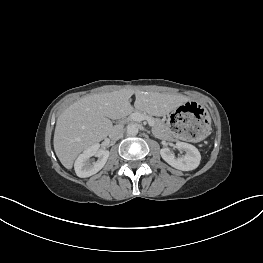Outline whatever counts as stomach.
I'll return each mask as SVG.
<instances>
[{
	"mask_svg": "<svg viewBox=\"0 0 263 263\" xmlns=\"http://www.w3.org/2000/svg\"><path fill=\"white\" fill-rule=\"evenodd\" d=\"M172 134L187 144H199L210 133V119L199 105L187 103L176 109L169 120Z\"/></svg>",
	"mask_w": 263,
	"mask_h": 263,
	"instance_id": "1",
	"label": "stomach"
}]
</instances>
